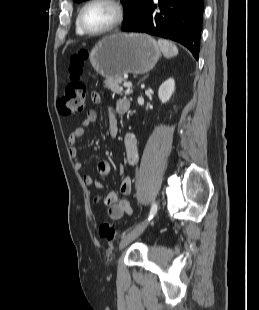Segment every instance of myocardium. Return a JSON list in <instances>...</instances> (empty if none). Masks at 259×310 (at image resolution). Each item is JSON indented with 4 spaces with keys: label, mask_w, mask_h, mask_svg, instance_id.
<instances>
[{
    "label": "myocardium",
    "mask_w": 259,
    "mask_h": 310,
    "mask_svg": "<svg viewBox=\"0 0 259 310\" xmlns=\"http://www.w3.org/2000/svg\"><path fill=\"white\" fill-rule=\"evenodd\" d=\"M94 3H105L110 5L111 7H113V9L115 10V18L114 20L105 28L101 29V30H90L88 29L84 22H83V13L84 10L89 7L90 5L94 4ZM125 16H126V10L125 7L123 5V3L121 2V0H88L79 10L78 16H77V23L80 27V29L89 36H102L105 34H108L112 31H114L115 29H117L119 26L122 25V23L125 20Z\"/></svg>",
    "instance_id": "f54148a6"
}]
</instances>
